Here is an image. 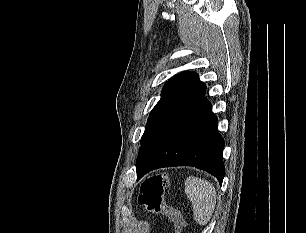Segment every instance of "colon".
Wrapping results in <instances>:
<instances>
[{
	"instance_id": "obj_1",
	"label": "colon",
	"mask_w": 306,
	"mask_h": 233,
	"mask_svg": "<svg viewBox=\"0 0 306 233\" xmlns=\"http://www.w3.org/2000/svg\"><path fill=\"white\" fill-rule=\"evenodd\" d=\"M168 176L165 172L155 173L146 178L140 185L138 202L148 212L166 217L173 224L176 233H182L185 227L183 214L165 200Z\"/></svg>"
}]
</instances>
